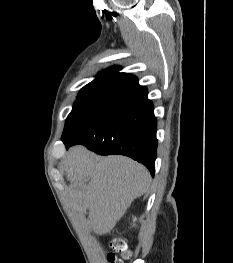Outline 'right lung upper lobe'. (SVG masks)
Segmentation results:
<instances>
[{"label":"right lung upper lobe","instance_id":"cb5924a9","mask_svg":"<svg viewBox=\"0 0 233 263\" xmlns=\"http://www.w3.org/2000/svg\"><path fill=\"white\" fill-rule=\"evenodd\" d=\"M119 66L101 71L97 78L84 86L79 95H114L120 96L139 86L137 77L118 72Z\"/></svg>","mask_w":233,"mask_h":263}]
</instances>
